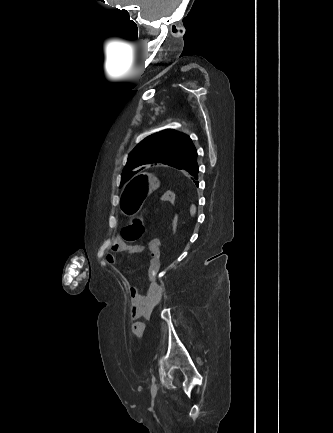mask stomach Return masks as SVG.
Returning a JSON list of instances; mask_svg holds the SVG:
<instances>
[{"mask_svg":"<svg viewBox=\"0 0 333 433\" xmlns=\"http://www.w3.org/2000/svg\"><path fill=\"white\" fill-rule=\"evenodd\" d=\"M158 186L156 178L150 173L133 177L123 189L120 211L127 217L136 215L141 210L145 198Z\"/></svg>","mask_w":333,"mask_h":433,"instance_id":"1","label":"stomach"}]
</instances>
